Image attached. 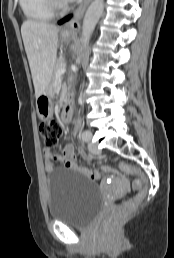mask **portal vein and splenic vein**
Segmentation results:
<instances>
[{"label": "portal vein and splenic vein", "mask_w": 174, "mask_h": 258, "mask_svg": "<svg viewBox=\"0 0 174 258\" xmlns=\"http://www.w3.org/2000/svg\"><path fill=\"white\" fill-rule=\"evenodd\" d=\"M65 72H66V68L63 67L57 71L56 76L59 77V76L63 75Z\"/></svg>", "instance_id": "18ae733b"}]
</instances>
